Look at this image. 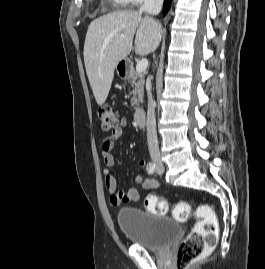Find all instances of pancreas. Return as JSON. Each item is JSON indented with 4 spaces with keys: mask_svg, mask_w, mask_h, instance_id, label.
I'll return each mask as SVG.
<instances>
[{
    "mask_svg": "<svg viewBox=\"0 0 265 269\" xmlns=\"http://www.w3.org/2000/svg\"><path fill=\"white\" fill-rule=\"evenodd\" d=\"M129 83L131 85V104L134 110L139 109V103L143 102L144 95V75L137 71H131L129 76Z\"/></svg>",
    "mask_w": 265,
    "mask_h": 269,
    "instance_id": "cf45deb5",
    "label": "pancreas"
}]
</instances>
